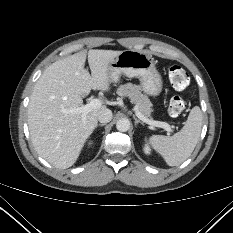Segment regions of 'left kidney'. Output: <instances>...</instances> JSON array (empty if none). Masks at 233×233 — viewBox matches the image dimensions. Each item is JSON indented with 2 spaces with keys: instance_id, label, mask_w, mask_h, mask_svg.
I'll list each match as a JSON object with an SVG mask.
<instances>
[{
  "instance_id": "left-kidney-1",
  "label": "left kidney",
  "mask_w": 233,
  "mask_h": 233,
  "mask_svg": "<svg viewBox=\"0 0 233 233\" xmlns=\"http://www.w3.org/2000/svg\"><path fill=\"white\" fill-rule=\"evenodd\" d=\"M144 152L146 154H148V155L151 153V149H150V147L147 144H145V146H144Z\"/></svg>"
}]
</instances>
